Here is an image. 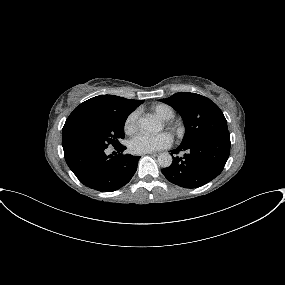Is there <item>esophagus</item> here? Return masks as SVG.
Returning <instances> with one entry per match:
<instances>
[{
    "mask_svg": "<svg viewBox=\"0 0 285 285\" xmlns=\"http://www.w3.org/2000/svg\"><path fill=\"white\" fill-rule=\"evenodd\" d=\"M150 156H159L160 155V152H151V153H148Z\"/></svg>",
    "mask_w": 285,
    "mask_h": 285,
    "instance_id": "obj_1",
    "label": "esophagus"
}]
</instances>
